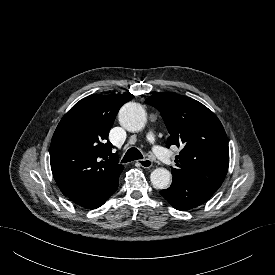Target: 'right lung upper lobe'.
Masks as SVG:
<instances>
[{"label":"right lung upper lobe","mask_w":275,"mask_h":275,"mask_svg":"<svg viewBox=\"0 0 275 275\" xmlns=\"http://www.w3.org/2000/svg\"><path fill=\"white\" fill-rule=\"evenodd\" d=\"M132 94L91 95L76 103L61 119L50 146L53 177L65 196L109 184L123 170L111 154L108 133ZM104 159V160H102Z\"/></svg>","instance_id":"1"}]
</instances>
